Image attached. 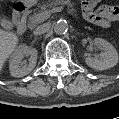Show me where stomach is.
Listing matches in <instances>:
<instances>
[{"label":"stomach","mask_w":119,"mask_h":119,"mask_svg":"<svg viewBox=\"0 0 119 119\" xmlns=\"http://www.w3.org/2000/svg\"><path fill=\"white\" fill-rule=\"evenodd\" d=\"M21 1L25 6L31 7V6L35 5L38 0H21Z\"/></svg>","instance_id":"0dacf381"}]
</instances>
